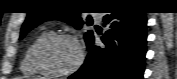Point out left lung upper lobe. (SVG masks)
Listing matches in <instances>:
<instances>
[{
    "instance_id": "5c2ea615",
    "label": "left lung upper lobe",
    "mask_w": 177,
    "mask_h": 79,
    "mask_svg": "<svg viewBox=\"0 0 177 79\" xmlns=\"http://www.w3.org/2000/svg\"><path fill=\"white\" fill-rule=\"evenodd\" d=\"M36 7L30 11L27 15V18L22 26L21 29V35L20 39H23V37L34 27L41 24L42 22L46 20L51 19H60L64 21H70L71 24H73L77 29L81 28V25L83 24V21L80 18V12L79 11H66V12H53L49 10L47 7L51 4H56L55 2L59 1H53V0H42L37 1ZM81 2V1H76ZM93 34L92 31H88L84 38L87 42V45L92 38Z\"/></svg>"
}]
</instances>
